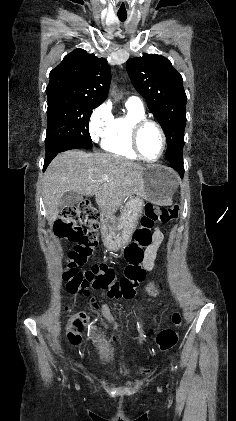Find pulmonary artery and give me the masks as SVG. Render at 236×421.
I'll list each match as a JSON object with an SVG mask.
<instances>
[{
	"mask_svg": "<svg viewBox=\"0 0 236 421\" xmlns=\"http://www.w3.org/2000/svg\"><path fill=\"white\" fill-rule=\"evenodd\" d=\"M128 101L136 102V103H140L141 104V100L138 97H131V98H129Z\"/></svg>",
	"mask_w": 236,
	"mask_h": 421,
	"instance_id": "e3ab8cb5",
	"label": "pulmonary artery"
}]
</instances>
